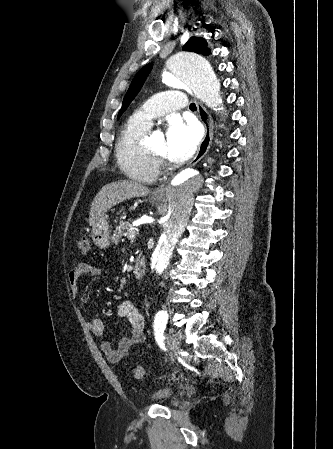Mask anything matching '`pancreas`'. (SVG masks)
<instances>
[{"label":"pancreas","instance_id":"obj_1","mask_svg":"<svg viewBox=\"0 0 333 449\" xmlns=\"http://www.w3.org/2000/svg\"><path fill=\"white\" fill-rule=\"evenodd\" d=\"M130 228H132V226L129 222L121 221L114 231L112 242L114 244H118L120 242V239L126 235V231H128Z\"/></svg>","mask_w":333,"mask_h":449}]
</instances>
